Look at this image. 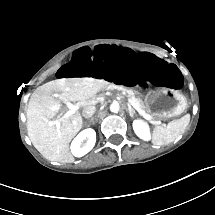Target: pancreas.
<instances>
[{
	"instance_id": "obj_1",
	"label": "pancreas",
	"mask_w": 215,
	"mask_h": 215,
	"mask_svg": "<svg viewBox=\"0 0 215 215\" xmlns=\"http://www.w3.org/2000/svg\"><path fill=\"white\" fill-rule=\"evenodd\" d=\"M113 90H115V89L107 87L105 90L102 91V93L103 92H110V91H113ZM120 92H122V93L125 92L127 94L128 98H131V99L135 100V102L139 105L141 111H143L145 115H149V117H150L149 120L150 121L154 120V116H152L149 113V111H147V109L145 107V104H144V101H143L142 98L136 96L133 92L132 93H128V89H126V88H123Z\"/></svg>"
}]
</instances>
